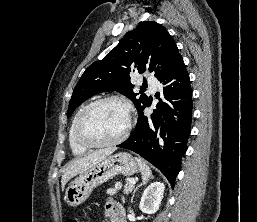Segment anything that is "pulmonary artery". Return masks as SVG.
I'll return each instance as SVG.
<instances>
[{"mask_svg": "<svg viewBox=\"0 0 257 222\" xmlns=\"http://www.w3.org/2000/svg\"><path fill=\"white\" fill-rule=\"evenodd\" d=\"M147 85H148L151 89H154V90H155V89L158 88L159 82H158L155 78L149 76V77H147Z\"/></svg>", "mask_w": 257, "mask_h": 222, "instance_id": "1", "label": "pulmonary artery"}]
</instances>
